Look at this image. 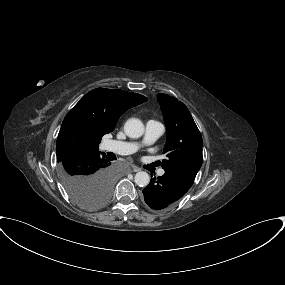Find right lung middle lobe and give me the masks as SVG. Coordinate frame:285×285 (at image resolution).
<instances>
[{
	"instance_id": "right-lung-middle-lobe-1",
	"label": "right lung middle lobe",
	"mask_w": 285,
	"mask_h": 285,
	"mask_svg": "<svg viewBox=\"0 0 285 285\" xmlns=\"http://www.w3.org/2000/svg\"><path fill=\"white\" fill-rule=\"evenodd\" d=\"M59 175L69 196L81 207L97 209L110 199L114 175L81 176L71 163L58 165Z\"/></svg>"
}]
</instances>
